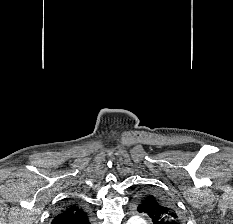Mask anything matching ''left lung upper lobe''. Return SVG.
Segmentation results:
<instances>
[{"instance_id":"5c2ea615","label":"left lung upper lobe","mask_w":233,"mask_h":224,"mask_svg":"<svg viewBox=\"0 0 233 224\" xmlns=\"http://www.w3.org/2000/svg\"><path fill=\"white\" fill-rule=\"evenodd\" d=\"M137 211L146 213L153 224H184L175 203L155 190H148L137 197Z\"/></svg>"}]
</instances>
